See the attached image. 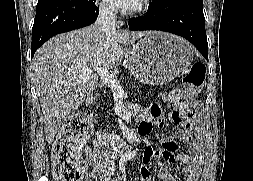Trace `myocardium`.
Masks as SVG:
<instances>
[{
	"instance_id": "obj_1",
	"label": "myocardium",
	"mask_w": 253,
	"mask_h": 181,
	"mask_svg": "<svg viewBox=\"0 0 253 181\" xmlns=\"http://www.w3.org/2000/svg\"><path fill=\"white\" fill-rule=\"evenodd\" d=\"M150 6V0H141L139 6L132 10V14L135 16H142L144 15Z\"/></svg>"
}]
</instances>
